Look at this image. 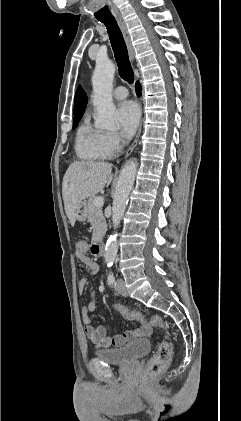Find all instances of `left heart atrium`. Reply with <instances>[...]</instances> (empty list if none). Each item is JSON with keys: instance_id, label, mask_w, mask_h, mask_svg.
<instances>
[{"instance_id": "39dd6f15", "label": "left heart atrium", "mask_w": 241, "mask_h": 421, "mask_svg": "<svg viewBox=\"0 0 241 421\" xmlns=\"http://www.w3.org/2000/svg\"><path fill=\"white\" fill-rule=\"evenodd\" d=\"M140 120V111L138 106L132 101H124L119 104L116 111V121L123 137L130 138Z\"/></svg>"}]
</instances>
